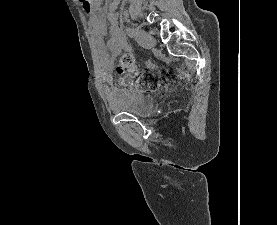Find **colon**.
<instances>
[{"label":"colon","instance_id":"5ec220e1","mask_svg":"<svg viewBox=\"0 0 277 225\" xmlns=\"http://www.w3.org/2000/svg\"><path fill=\"white\" fill-rule=\"evenodd\" d=\"M134 64L133 56L130 54H124L119 60V72L125 73ZM132 84L134 87L146 91H155L158 87L157 73L152 69H146L135 73L132 76Z\"/></svg>","mask_w":277,"mask_h":225}]
</instances>
